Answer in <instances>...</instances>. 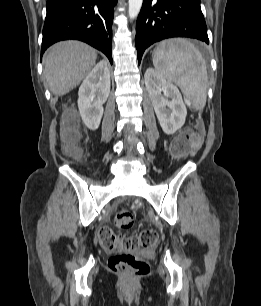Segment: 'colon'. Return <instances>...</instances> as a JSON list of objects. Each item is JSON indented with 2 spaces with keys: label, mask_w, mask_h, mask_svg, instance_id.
I'll return each instance as SVG.
<instances>
[{
  "label": "colon",
  "mask_w": 261,
  "mask_h": 306,
  "mask_svg": "<svg viewBox=\"0 0 261 306\" xmlns=\"http://www.w3.org/2000/svg\"><path fill=\"white\" fill-rule=\"evenodd\" d=\"M63 141L67 152L78 157L80 151L76 146L78 140V121L73 113L63 117ZM200 137L197 133L186 130L180 133L171 144V152L176 158H183L191 154L199 145ZM115 223L119 228H130L134 223V216L128 210H119L115 214ZM99 238L103 247L108 251L116 252L109 258V269L126 278H136L148 273V263L133 254L139 249L151 248L158 242V233L147 228L137 234L120 236L111 229L103 227L99 231Z\"/></svg>",
  "instance_id": "obj_1"
}]
</instances>
